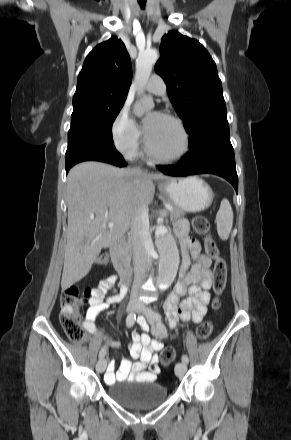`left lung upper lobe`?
<instances>
[{"label": "left lung upper lobe", "mask_w": 291, "mask_h": 440, "mask_svg": "<svg viewBox=\"0 0 291 440\" xmlns=\"http://www.w3.org/2000/svg\"><path fill=\"white\" fill-rule=\"evenodd\" d=\"M160 53L155 71L166 82L170 101L185 121L189 147L213 132L229 129L222 84L203 45L171 31L162 37Z\"/></svg>", "instance_id": "1"}]
</instances>
